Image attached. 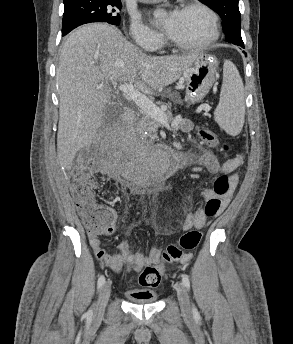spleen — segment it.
<instances>
[{
  "label": "spleen",
  "mask_w": 293,
  "mask_h": 344,
  "mask_svg": "<svg viewBox=\"0 0 293 344\" xmlns=\"http://www.w3.org/2000/svg\"><path fill=\"white\" fill-rule=\"evenodd\" d=\"M214 119L221 129L232 136L238 135L244 125L243 81L236 66L229 60L224 61L223 83L219 104L214 111Z\"/></svg>",
  "instance_id": "3e777b00"
}]
</instances>
